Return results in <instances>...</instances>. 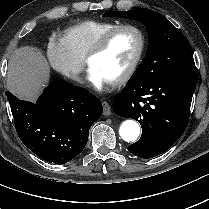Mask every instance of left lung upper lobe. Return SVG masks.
Listing matches in <instances>:
<instances>
[{
  "instance_id": "5c2ea615",
  "label": "left lung upper lobe",
  "mask_w": 209,
  "mask_h": 209,
  "mask_svg": "<svg viewBox=\"0 0 209 209\" xmlns=\"http://www.w3.org/2000/svg\"><path fill=\"white\" fill-rule=\"evenodd\" d=\"M104 16L136 20L146 27L149 36L147 52L131 78L156 79L195 65L192 51L184 35L161 14L147 8H140L106 12Z\"/></svg>"
}]
</instances>
